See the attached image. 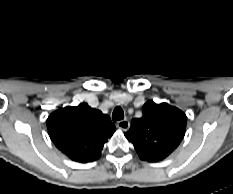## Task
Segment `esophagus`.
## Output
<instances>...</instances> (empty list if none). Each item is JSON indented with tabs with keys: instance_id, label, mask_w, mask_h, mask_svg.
I'll list each match as a JSON object with an SVG mask.
<instances>
[{
	"instance_id": "obj_1",
	"label": "esophagus",
	"mask_w": 233,
	"mask_h": 194,
	"mask_svg": "<svg viewBox=\"0 0 233 194\" xmlns=\"http://www.w3.org/2000/svg\"><path fill=\"white\" fill-rule=\"evenodd\" d=\"M117 127L123 131H127L130 128V123L127 119L120 120L117 123Z\"/></svg>"
}]
</instances>
